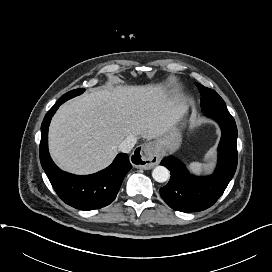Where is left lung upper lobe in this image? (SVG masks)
<instances>
[{
  "mask_svg": "<svg viewBox=\"0 0 272 272\" xmlns=\"http://www.w3.org/2000/svg\"><path fill=\"white\" fill-rule=\"evenodd\" d=\"M201 94V106L202 108L226 105L224 100L212 89L206 88L201 84L196 83Z\"/></svg>",
  "mask_w": 272,
  "mask_h": 272,
  "instance_id": "obj_1",
  "label": "left lung upper lobe"
}]
</instances>
